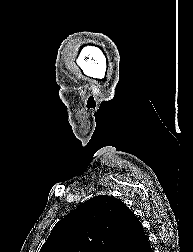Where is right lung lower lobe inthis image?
Wrapping results in <instances>:
<instances>
[{
  "label": "right lung lower lobe",
  "instance_id": "98d812e1",
  "mask_svg": "<svg viewBox=\"0 0 193 252\" xmlns=\"http://www.w3.org/2000/svg\"><path fill=\"white\" fill-rule=\"evenodd\" d=\"M129 252H153L146 234L140 238L138 243Z\"/></svg>",
  "mask_w": 193,
  "mask_h": 252
}]
</instances>
